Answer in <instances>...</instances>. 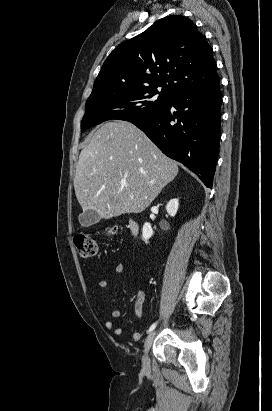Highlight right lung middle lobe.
<instances>
[{
    "label": "right lung middle lobe",
    "mask_w": 272,
    "mask_h": 411,
    "mask_svg": "<svg viewBox=\"0 0 272 411\" xmlns=\"http://www.w3.org/2000/svg\"><path fill=\"white\" fill-rule=\"evenodd\" d=\"M172 98L167 89L158 91L157 87L130 86L92 92L86 102L81 130L112 119L133 122L149 118L165 108Z\"/></svg>",
    "instance_id": "dd1d6c3e"
}]
</instances>
